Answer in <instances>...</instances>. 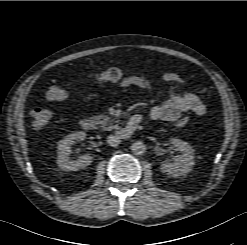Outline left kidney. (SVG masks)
<instances>
[{
  "label": "left kidney",
  "instance_id": "obj_1",
  "mask_svg": "<svg viewBox=\"0 0 247 245\" xmlns=\"http://www.w3.org/2000/svg\"><path fill=\"white\" fill-rule=\"evenodd\" d=\"M170 143L176 146L182 155L174 157L173 162L162 163L160 170L170 176L177 177L189 173L194 165V149L187 142L177 138H171Z\"/></svg>",
  "mask_w": 247,
  "mask_h": 245
}]
</instances>
